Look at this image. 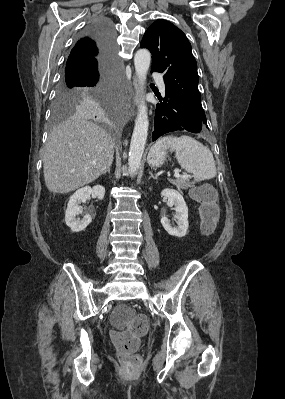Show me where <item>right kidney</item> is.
I'll return each instance as SVG.
<instances>
[{"mask_svg":"<svg viewBox=\"0 0 285 399\" xmlns=\"http://www.w3.org/2000/svg\"><path fill=\"white\" fill-rule=\"evenodd\" d=\"M91 195H95L99 200H102L105 195V188L101 185L94 187L86 186L77 190L69 199L67 209L65 211V222L72 232L83 231L92 221V217L86 214L82 220L77 218L81 212V203H85L90 199Z\"/></svg>","mask_w":285,"mask_h":399,"instance_id":"obj_1","label":"right kidney"}]
</instances>
